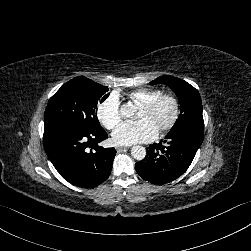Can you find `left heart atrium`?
<instances>
[{
	"label": "left heart atrium",
	"mask_w": 251,
	"mask_h": 251,
	"mask_svg": "<svg viewBox=\"0 0 251 251\" xmlns=\"http://www.w3.org/2000/svg\"><path fill=\"white\" fill-rule=\"evenodd\" d=\"M159 133L156 123L145 118L137 122H123L113 132L112 139L117 145H132L153 141Z\"/></svg>",
	"instance_id": "left-heart-atrium-1"
}]
</instances>
